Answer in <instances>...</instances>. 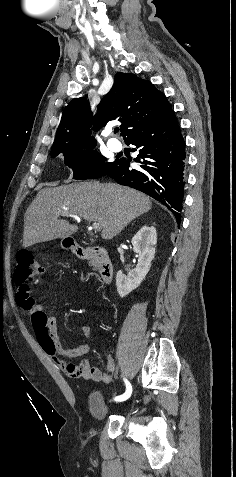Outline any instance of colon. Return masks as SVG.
Masks as SVG:
<instances>
[{
  "mask_svg": "<svg viewBox=\"0 0 236 477\" xmlns=\"http://www.w3.org/2000/svg\"><path fill=\"white\" fill-rule=\"evenodd\" d=\"M43 268L37 255L31 251H21L16 255L14 280L17 285L16 299L20 307H25L31 298V290L41 278Z\"/></svg>",
  "mask_w": 236,
  "mask_h": 477,
  "instance_id": "colon-1",
  "label": "colon"
}]
</instances>
